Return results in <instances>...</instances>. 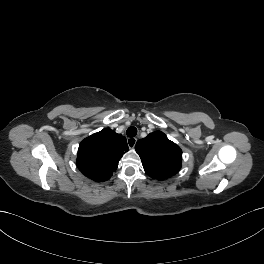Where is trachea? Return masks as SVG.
<instances>
[{
  "label": "trachea",
  "instance_id": "1",
  "mask_svg": "<svg viewBox=\"0 0 264 264\" xmlns=\"http://www.w3.org/2000/svg\"><path fill=\"white\" fill-rule=\"evenodd\" d=\"M126 134L128 137H135L137 134V129L134 126H131L127 129Z\"/></svg>",
  "mask_w": 264,
  "mask_h": 264
}]
</instances>
